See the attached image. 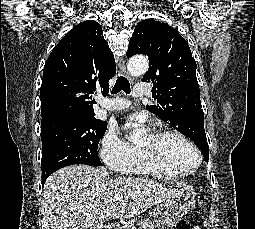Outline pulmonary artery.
<instances>
[{
	"label": "pulmonary artery",
	"mask_w": 255,
	"mask_h": 229,
	"mask_svg": "<svg viewBox=\"0 0 255 229\" xmlns=\"http://www.w3.org/2000/svg\"><path fill=\"white\" fill-rule=\"evenodd\" d=\"M150 94L147 84H136L133 89V96L143 97ZM130 106V101L126 98L114 97L103 103L102 108L110 111L124 110Z\"/></svg>",
	"instance_id": "1"
}]
</instances>
